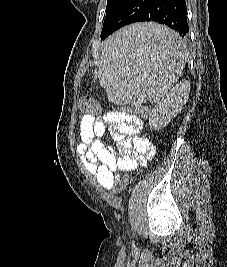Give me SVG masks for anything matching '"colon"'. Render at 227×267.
Here are the masks:
<instances>
[{"label":"colon","mask_w":227,"mask_h":267,"mask_svg":"<svg viewBox=\"0 0 227 267\" xmlns=\"http://www.w3.org/2000/svg\"><path fill=\"white\" fill-rule=\"evenodd\" d=\"M80 107L83 111L89 114L99 113L100 105L89 97H83L80 100ZM123 113H132V116H141V120L150 119L149 104H122ZM109 109H116V104H110ZM112 178H115L116 190L120 192L127 183V178H131L130 169H121L117 173H112Z\"/></svg>","instance_id":"1"}]
</instances>
